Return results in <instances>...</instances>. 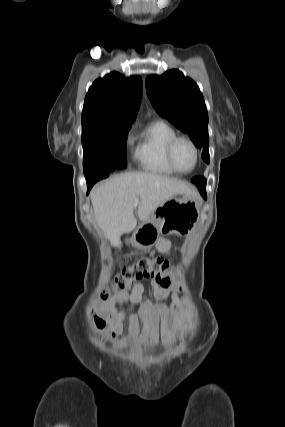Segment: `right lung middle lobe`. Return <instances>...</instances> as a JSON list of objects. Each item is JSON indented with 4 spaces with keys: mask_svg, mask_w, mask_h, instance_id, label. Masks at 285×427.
Here are the masks:
<instances>
[{
    "mask_svg": "<svg viewBox=\"0 0 285 427\" xmlns=\"http://www.w3.org/2000/svg\"><path fill=\"white\" fill-rule=\"evenodd\" d=\"M130 127L131 123H82L86 181L126 167L125 148Z\"/></svg>",
    "mask_w": 285,
    "mask_h": 427,
    "instance_id": "1",
    "label": "right lung middle lobe"
}]
</instances>
